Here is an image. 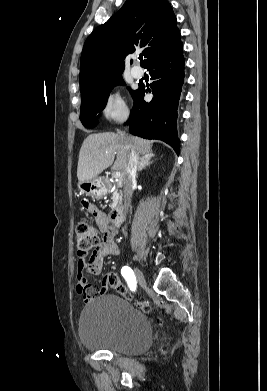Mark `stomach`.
<instances>
[{
  "label": "stomach",
  "mask_w": 267,
  "mask_h": 391,
  "mask_svg": "<svg viewBox=\"0 0 267 391\" xmlns=\"http://www.w3.org/2000/svg\"><path fill=\"white\" fill-rule=\"evenodd\" d=\"M79 190L92 198H102L107 194L108 188L102 178H93L88 181L78 183Z\"/></svg>",
  "instance_id": "1"
}]
</instances>
